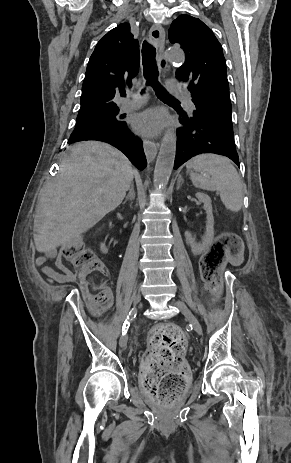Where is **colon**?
Listing matches in <instances>:
<instances>
[{"mask_svg":"<svg viewBox=\"0 0 291 463\" xmlns=\"http://www.w3.org/2000/svg\"><path fill=\"white\" fill-rule=\"evenodd\" d=\"M239 248L238 236L224 233L205 252L201 269L210 290H217L226 258H237ZM61 255L74 266L91 312L99 314L112 300L111 292L105 287L107 273L103 264L80 239L63 245ZM149 343L150 350L142 365L143 388L152 399L171 402L182 394L186 385V336L176 325L165 324L151 333Z\"/></svg>","mask_w":291,"mask_h":463,"instance_id":"1","label":"colon"}]
</instances>
